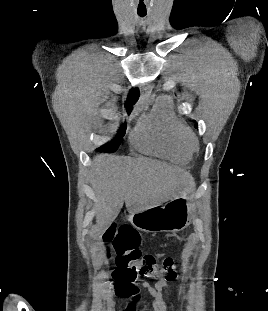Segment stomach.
Segmentation results:
<instances>
[{"mask_svg": "<svg viewBox=\"0 0 268 311\" xmlns=\"http://www.w3.org/2000/svg\"><path fill=\"white\" fill-rule=\"evenodd\" d=\"M192 218V205L189 197L180 194L165 206L150 207L131 213L132 225L144 232H179L187 228Z\"/></svg>", "mask_w": 268, "mask_h": 311, "instance_id": "1", "label": "stomach"}]
</instances>
